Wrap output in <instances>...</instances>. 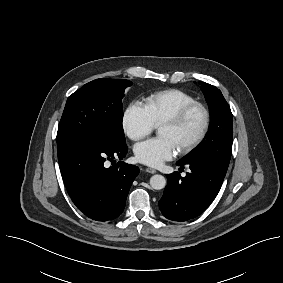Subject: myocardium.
<instances>
[{
  "mask_svg": "<svg viewBox=\"0 0 283 283\" xmlns=\"http://www.w3.org/2000/svg\"><path fill=\"white\" fill-rule=\"evenodd\" d=\"M195 110H199L203 116V122L198 134L190 141L181 145L178 150L181 153H187L199 146L205 139L211 122V115L209 109L201 102L193 101L180 110H178L173 116L165 119L160 125H168L174 128H179L188 119L191 113Z\"/></svg>",
  "mask_w": 283,
  "mask_h": 283,
  "instance_id": "obj_1",
  "label": "myocardium"
}]
</instances>
